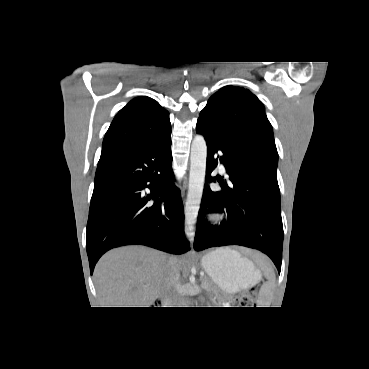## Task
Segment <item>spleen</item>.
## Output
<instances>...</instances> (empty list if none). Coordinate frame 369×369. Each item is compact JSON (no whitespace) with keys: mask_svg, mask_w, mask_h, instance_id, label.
Listing matches in <instances>:
<instances>
[{"mask_svg":"<svg viewBox=\"0 0 369 369\" xmlns=\"http://www.w3.org/2000/svg\"><path fill=\"white\" fill-rule=\"evenodd\" d=\"M265 275L268 279V282L262 285L259 293V304L263 305L262 307H269L270 305V297L272 290L274 288L275 282V273L272 269L264 267Z\"/></svg>","mask_w":369,"mask_h":369,"instance_id":"obj_1","label":"spleen"}]
</instances>
